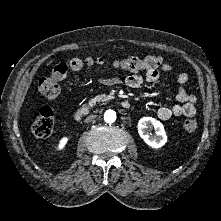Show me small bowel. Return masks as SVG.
Wrapping results in <instances>:
<instances>
[{"instance_id": "c3829d8e", "label": "small bowel", "mask_w": 221, "mask_h": 221, "mask_svg": "<svg viewBox=\"0 0 221 221\" xmlns=\"http://www.w3.org/2000/svg\"><path fill=\"white\" fill-rule=\"evenodd\" d=\"M173 66L166 62L164 64L163 70L168 72L172 71ZM159 78V71L148 70L144 75L139 74H130L124 79L113 77L102 79L101 82L109 86H117L124 84L128 88H138L142 86L145 82H155ZM189 80V76L182 72L177 76V81L180 84L176 99L177 103H174L170 106H163L157 109L156 117L160 120H168L172 117H194L197 113L196 110V97L188 92L184 86Z\"/></svg>"}]
</instances>
